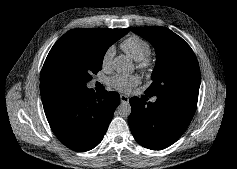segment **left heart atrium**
Segmentation results:
<instances>
[{"label":"left heart atrium","instance_id":"obj_1","mask_svg":"<svg viewBox=\"0 0 237 169\" xmlns=\"http://www.w3.org/2000/svg\"><path fill=\"white\" fill-rule=\"evenodd\" d=\"M139 79L136 75H115L110 79V85L116 90L126 92L136 86Z\"/></svg>","mask_w":237,"mask_h":169}]
</instances>
